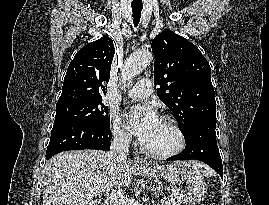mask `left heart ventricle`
I'll use <instances>...</instances> for the list:
<instances>
[{
    "label": "left heart ventricle",
    "instance_id": "b2bd125f",
    "mask_svg": "<svg viewBox=\"0 0 269 205\" xmlns=\"http://www.w3.org/2000/svg\"><path fill=\"white\" fill-rule=\"evenodd\" d=\"M145 145L151 150L164 152L176 147L177 137L171 126L160 120L154 134Z\"/></svg>",
    "mask_w": 269,
    "mask_h": 205
}]
</instances>
